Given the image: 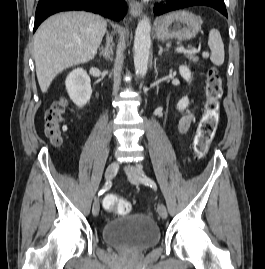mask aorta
<instances>
[{
    "label": "aorta",
    "instance_id": "1",
    "mask_svg": "<svg viewBox=\"0 0 265 269\" xmlns=\"http://www.w3.org/2000/svg\"><path fill=\"white\" fill-rule=\"evenodd\" d=\"M150 31V20L144 17L137 25L133 47L135 72L142 77L146 75L148 70L151 45Z\"/></svg>",
    "mask_w": 265,
    "mask_h": 269
}]
</instances>
